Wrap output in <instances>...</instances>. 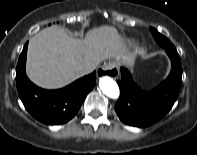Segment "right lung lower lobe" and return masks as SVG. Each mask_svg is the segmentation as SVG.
I'll list each match as a JSON object with an SVG mask.
<instances>
[{"mask_svg": "<svg viewBox=\"0 0 197 155\" xmlns=\"http://www.w3.org/2000/svg\"><path fill=\"white\" fill-rule=\"evenodd\" d=\"M27 46L28 43L23 48L16 68V84L21 101L26 110L44 124L59 125L68 122L95 86L96 73L84 76L62 89H41L26 76Z\"/></svg>", "mask_w": 197, "mask_h": 155, "instance_id": "1", "label": "right lung lower lobe"}]
</instances>
